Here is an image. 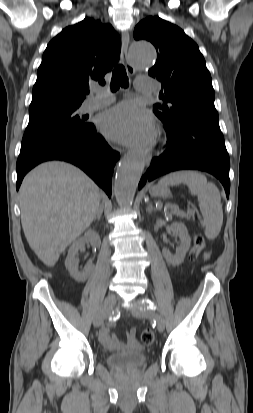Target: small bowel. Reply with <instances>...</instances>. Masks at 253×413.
Wrapping results in <instances>:
<instances>
[{"mask_svg": "<svg viewBox=\"0 0 253 413\" xmlns=\"http://www.w3.org/2000/svg\"><path fill=\"white\" fill-rule=\"evenodd\" d=\"M209 253L204 254V258L207 259ZM99 340L100 342L110 350H119L123 348V344L118 340V338L110 331V327H102L99 330ZM126 345L132 348H136L138 343L136 340V328H131L126 333Z\"/></svg>", "mask_w": 253, "mask_h": 413, "instance_id": "1", "label": "small bowel"}]
</instances>
